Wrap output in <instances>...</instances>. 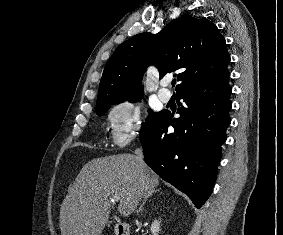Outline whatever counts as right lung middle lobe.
<instances>
[{
	"mask_svg": "<svg viewBox=\"0 0 283 235\" xmlns=\"http://www.w3.org/2000/svg\"><path fill=\"white\" fill-rule=\"evenodd\" d=\"M141 98V97H140ZM140 98H135V99H131V102H134L136 100H139ZM120 101H124V100H120ZM120 101H108V102H102V103H97V107H96V112L98 115H102L104 112L107 111V109L110 108L111 105L120 102ZM149 116L146 120V122H143V126L141 128V131H144L145 129H147L152 123L153 121L159 116L160 112L158 113H154L152 111H149Z\"/></svg>",
	"mask_w": 283,
	"mask_h": 235,
	"instance_id": "1",
	"label": "right lung middle lobe"
}]
</instances>
